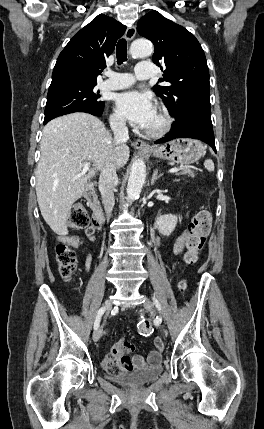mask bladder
<instances>
[{
    "label": "bladder",
    "instance_id": "1",
    "mask_svg": "<svg viewBox=\"0 0 264 429\" xmlns=\"http://www.w3.org/2000/svg\"><path fill=\"white\" fill-rule=\"evenodd\" d=\"M163 372V365L158 362L155 365L148 366L140 371H132L128 373L106 374V377L120 385L129 388H138L156 381Z\"/></svg>",
    "mask_w": 264,
    "mask_h": 429
}]
</instances>
